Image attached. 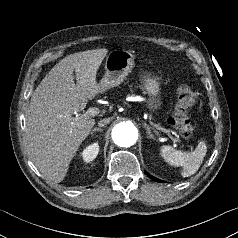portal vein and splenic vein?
I'll return each mask as SVG.
<instances>
[{
  "label": "portal vein and splenic vein",
  "mask_w": 238,
  "mask_h": 238,
  "mask_svg": "<svg viewBox=\"0 0 238 238\" xmlns=\"http://www.w3.org/2000/svg\"><path fill=\"white\" fill-rule=\"evenodd\" d=\"M99 109L98 108H95V107H90L87 111H86V113L84 114V116H90V117H93V116H96V115H98L99 114ZM155 127H156V125H154ZM158 129H160V130H162L163 132H165V133H168L169 131L168 130H166V129H164V128H158ZM175 141V140H174Z\"/></svg>",
  "instance_id": "1"
}]
</instances>
